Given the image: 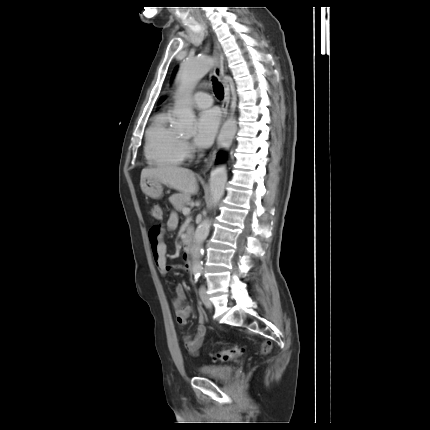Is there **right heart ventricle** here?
<instances>
[{"label": "right heart ventricle", "instance_id": "right-heart-ventricle-1", "mask_svg": "<svg viewBox=\"0 0 430 430\" xmlns=\"http://www.w3.org/2000/svg\"><path fill=\"white\" fill-rule=\"evenodd\" d=\"M172 114H157L145 134L144 155L149 165L177 167L185 159L180 136L171 127Z\"/></svg>", "mask_w": 430, "mask_h": 430}]
</instances>
